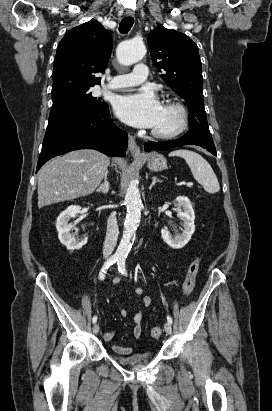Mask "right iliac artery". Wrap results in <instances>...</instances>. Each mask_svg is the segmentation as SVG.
<instances>
[{
  "mask_svg": "<svg viewBox=\"0 0 272 411\" xmlns=\"http://www.w3.org/2000/svg\"><path fill=\"white\" fill-rule=\"evenodd\" d=\"M119 260V257L117 256H112L110 257L103 265V267L101 268L100 272H99V279L100 280H104L105 276H106V271L107 269L113 265L116 261ZM92 322L96 323L97 322V316H94L92 318Z\"/></svg>",
  "mask_w": 272,
  "mask_h": 411,
  "instance_id": "1",
  "label": "right iliac artery"
}]
</instances>
